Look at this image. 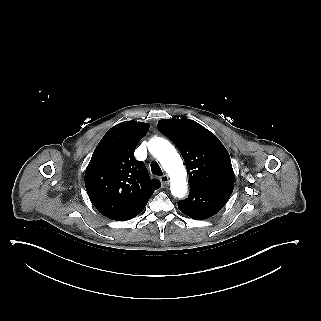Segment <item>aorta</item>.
I'll use <instances>...</instances> for the list:
<instances>
[{"label":"aorta","mask_w":321,"mask_h":321,"mask_svg":"<svg viewBox=\"0 0 321 321\" xmlns=\"http://www.w3.org/2000/svg\"><path fill=\"white\" fill-rule=\"evenodd\" d=\"M147 146L149 152L157 158L168 173L172 195L177 198H183L187 192V173L176 149L167 140L159 137L151 139Z\"/></svg>","instance_id":"762f6f07"}]
</instances>
